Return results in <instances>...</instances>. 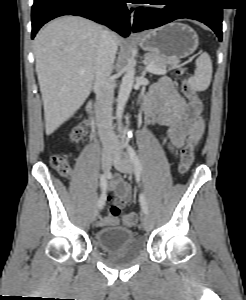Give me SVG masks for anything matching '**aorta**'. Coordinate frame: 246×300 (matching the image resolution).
Listing matches in <instances>:
<instances>
[{
    "mask_svg": "<svg viewBox=\"0 0 246 300\" xmlns=\"http://www.w3.org/2000/svg\"><path fill=\"white\" fill-rule=\"evenodd\" d=\"M134 76H135V60L133 58H129L127 64L125 66V74L122 78V82L120 84L118 97H117V109H116V119L118 123H121L124 108L132 91V87L134 84Z\"/></svg>",
    "mask_w": 246,
    "mask_h": 300,
    "instance_id": "aorta-1",
    "label": "aorta"
}]
</instances>
